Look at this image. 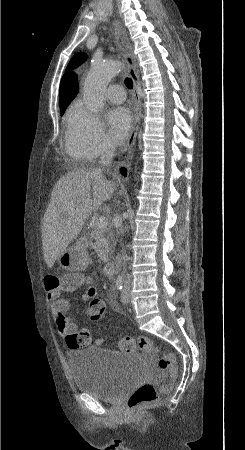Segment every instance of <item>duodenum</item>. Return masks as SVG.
<instances>
[{
	"label": "duodenum",
	"instance_id": "1",
	"mask_svg": "<svg viewBox=\"0 0 245 450\" xmlns=\"http://www.w3.org/2000/svg\"><path fill=\"white\" fill-rule=\"evenodd\" d=\"M81 242H82L83 245H86V242H85L84 240H82ZM116 268H117V265H116L115 262H113V261H112V262H109V263L106 265L105 273H106L109 277L114 278L115 273H116Z\"/></svg>",
	"mask_w": 245,
	"mask_h": 450
}]
</instances>
